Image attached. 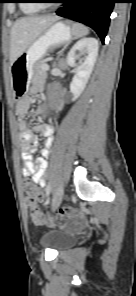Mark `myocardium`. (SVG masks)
Listing matches in <instances>:
<instances>
[{
	"label": "myocardium",
	"mask_w": 136,
	"mask_h": 296,
	"mask_svg": "<svg viewBox=\"0 0 136 296\" xmlns=\"http://www.w3.org/2000/svg\"><path fill=\"white\" fill-rule=\"evenodd\" d=\"M36 1H37L38 6H40V8L47 7L49 5V3L45 2L46 0H36Z\"/></svg>",
	"instance_id": "myocardium-1"
}]
</instances>
